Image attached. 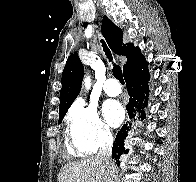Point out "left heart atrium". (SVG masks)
Returning a JSON list of instances; mask_svg holds the SVG:
<instances>
[{
    "mask_svg": "<svg viewBox=\"0 0 196 182\" xmlns=\"http://www.w3.org/2000/svg\"><path fill=\"white\" fill-rule=\"evenodd\" d=\"M102 110L106 121L113 127L118 126L124 119V110L118 101L107 100Z\"/></svg>",
    "mask_w": 196,
    "mask_h": 182,
    "instance_id": "39dd6f15",
    "label": "left heart atrium"
}]
</instances>
